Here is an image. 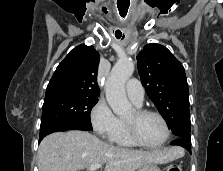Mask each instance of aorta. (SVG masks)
Here are the masks:
<instances>
[{
	"instance_id": "762f6f07",
	"label": "aorta",
	"mask_w": 223,
	"mask_h": 171,
	"mask_svg": "<svg viewBox=\"0 0 223 171\" xmlns=\"http://www.w3.org/2000/svg\"><path fill=\"white\" fill-rule=\"evenodd\" d=\"M134 67L130 59L119 60L112 68L105 85L107 102L118 116H124L132 110L126 97L125 83L132 76Z\"/></svg>"
}]
</instances>
